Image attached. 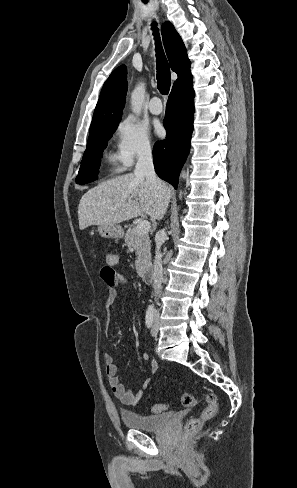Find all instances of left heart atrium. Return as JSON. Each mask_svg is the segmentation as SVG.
Wrapping results in <instances>:
<instances>
[{
	"mask_svg": "<svg viewBox=\"0 0 297 488\" xmlns=\"http://www.w3.org/2000/svg\"><path fill=\"white\" fill-rule=\"evenodd\" d=\"M155 132L158 136H162L164 134V127L159 123L155 124Z\"/></svg>",
	"mask_w": 297,
	"mask_h": 488,
	"instance_id": "39dd6f15",
	"label": "left heart atrium"
}]
</instances>
